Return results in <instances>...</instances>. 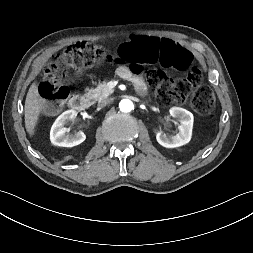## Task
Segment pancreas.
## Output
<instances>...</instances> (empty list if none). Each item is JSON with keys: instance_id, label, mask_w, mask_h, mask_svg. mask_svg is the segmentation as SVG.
Masks as SVG:
<instances>
[{"instance_id": "cf45deb5", "label": "pancreas", "mask_w": 253, "mask_h": 253, "mask_svg": "<svg viewBox=\"0 0 253 253\" xmlns=\"http://www.w3.org/2000/svg\"><path fill=\"white\" fill-rule=\"evenodd\" d=\"M114 92V89L108 87L106 82H102L96 88L87 89L85 96L92 102L107 98Z\"/></svg>"}]
</instances>
